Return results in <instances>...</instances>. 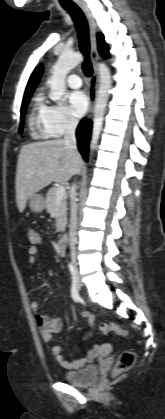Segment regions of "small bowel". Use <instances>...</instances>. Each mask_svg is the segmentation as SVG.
Returning <instances> with one entry per match:
<instances>
[{
    "mask_svg": "<svg viewBox=\"0 0 165 419\" xmlns=\"http://www.w3.org/2000/svg\"><path fill=\"white\" fill-rule=\"evenodd\" d=\"M33 230V229H32ZM36 232V231H35ZM41 242L40 238L37 243H34V245L30 246L28 253V263L30 265H34L37 261V256L39 254V249L37 244ZM31 308L35 313L36 316V322L40 328V334L41 338L44 343L46 344H52L54 342V333L59 331L62 327V322L58 318H51L46 314L40 313V306L39 303L36 301H33L31 303ZM84 316L87 317L89 326L91 327L94 322V317L92 314L83 312ZM91 334L90 329L83 333L84 338H88ZM102 350L101 345L94 346L91 350H89L84 357H81L76 360H72L67 358L62 354V349L59 345H54L51 348L52 354L55 356L57 362L62 365L63 367L67 369H80L84 366H86L88 363L92 362L97 355Z\"/></svg>",
    "mask_w": 165,
    "mask_h": 419,
    "instance_id": "1",
    "label": "small bowel"
}]
</instances>
